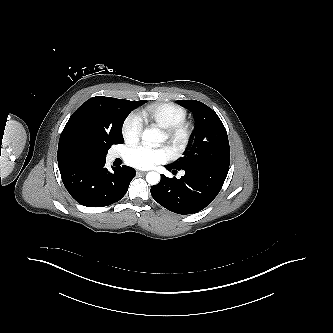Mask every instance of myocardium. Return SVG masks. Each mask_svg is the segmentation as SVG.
Here are the masks:
<instances>
[{
    "instance_id": "obj_1",
    "label": "myocardium",
    "mask_w": 333,
    "mask_h": 333,
    "mask_svg": "<svg viewBox=\"0 0 333 333\" xmlns=\"http://www.w3.org/2000/svg\"><path fill=\"white\" fill-rule=\"evenodd\" d=\"M191 135L192 125L186 120L163 129L164 141L174 156L184 152L189 144Z\"/></svg>"
}]
</instances>
